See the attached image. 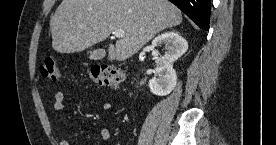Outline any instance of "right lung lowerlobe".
Here are the masks:
<instances>
[{"label": "right lung lower lobe", "instance_id": "obj_1", "mask_svg": "<svg viewBox=\"0 0 276 145\" xmlns=\"http://www.w3.org/2000/svg\"><path fill=\"white\" fill-rule=\"evenodd\" d=\"M182 10L201 29L208 30L210 0H169Z\"/></svg>", "mask_w": 276, "mask_h": 145}]
</instances>
